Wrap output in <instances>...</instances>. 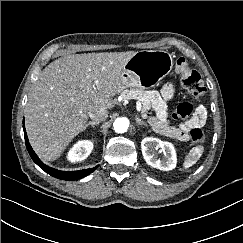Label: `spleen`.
<instances>
[{
	"instance_id": "spleen-1",
	"label": "spleen",
	"mask_w": 243,
	"mask_h": 243,
	"mask_svg": "<svg viewBox=\"0 0 243 243\" xmlns=\"http://www.w3.org/2000/svg\"><path fill=\"white\" fill-rule=\"evenodd\" d=\"M203 151H204V147L201 145L193 147L185 158V161L183 164L184 168H189L192 165H194L199 160V158L202 156Z\"/></svg>"
}]
</instances>
